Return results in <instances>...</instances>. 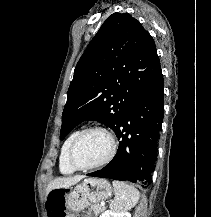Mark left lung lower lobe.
Returning <instances> with one entry per match:
<instances>
[{"mask_svg":"<svg viewBox=\"0 0 211 217\" xmlns=\"http://www.w3.org/2000/svg\"><path fill=\"white\" fill-rule=\"evenodd\" d=\"M163 100V75L160 71L134 98L127 113L113 130L120 141L113 160L103 169L87 175L149 186L164 117Z\"/></svg>","mask_w":211,"mask_h":217,"instance_id":"1","label":"left lung lower lobe"}]
</instances>
